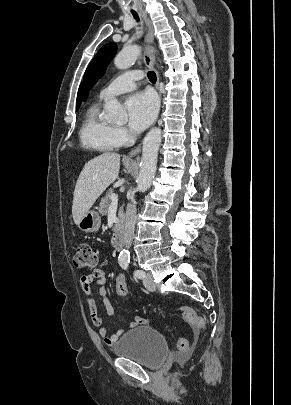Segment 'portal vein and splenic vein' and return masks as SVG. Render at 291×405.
<instances>
[{
    "label": "portal vein and splenic vein",
    "mask_w": 291,
    "mask_h": 405,
    "mask_svg": "<svg viewBox=\"0 0 291 405\" xmlns=\"http://www.w3.org/2000/svg\"><path fill=\"white\" fill-rule=\"evenodd\" d=\"M110 199H111V206H117V204H118V195L112 194Z\"/></svg>",
    "instance_id": "1"
}]
</instances>
